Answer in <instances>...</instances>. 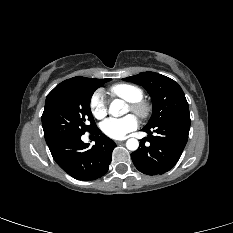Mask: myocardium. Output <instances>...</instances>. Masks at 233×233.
Returning <instances> with one entry per match:
<instances>
[{
	"instance_id": "f54148a6",
	"label": "myocardium",
	"mask_w": 233,
	"mask_h": 233,
	"mask_svg": "<svg viewBox=\"0 0 233 233\" xmlns=\"http://www.w3.org/2000/svg\"><path fill=\"white\" fill-rule=\"evenodd\" d=\"M128 109L140 119L148 118L152 113V104L144 99L128 103Z\"/></svg>"
}]
</instances>
